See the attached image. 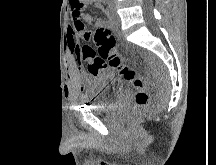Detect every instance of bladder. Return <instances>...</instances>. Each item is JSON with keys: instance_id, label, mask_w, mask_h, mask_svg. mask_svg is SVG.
Instances as JSON below:
<instances>
[{"instance_id": "bladder-1", "label": "bladder", "mask_w": 216, "mask_h": 165, "mask_svg": "<svg viewBox=\"0 0 216 165\" xmlns=\"http://www.w3.org/2000/svg\"><path fill=\"white\" fill-rule=\"evenodd\" d=\"M86 86H91L89 97L92 101L87 105L92 107V111H109L117 97H124V92L119 89L120 76H114L110 71H102L98 76H92V81H86Z\"/></svg>"}]
</instances>
